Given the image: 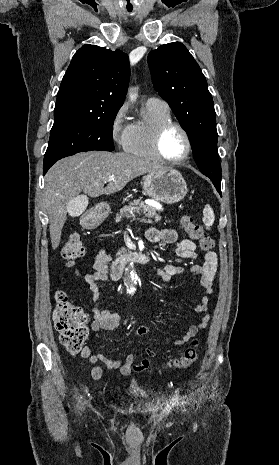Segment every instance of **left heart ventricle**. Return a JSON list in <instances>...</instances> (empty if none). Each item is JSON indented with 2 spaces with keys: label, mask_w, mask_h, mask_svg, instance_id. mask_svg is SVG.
I'll use <instances>...</instances> for the list:
<instances>
[{
  "label": "left heart ventricle",
  "mask_w": 279,
  "mask_h": 465,
  "mask_svg": "<svg viewBox=\"0 0 279 465\" xmlns=\"http://www.w3.org/2000/svg\"><path fill=\"white\" fill-rule=\"evenodd\" d=\"M162 151L170 159H177L186 151L185 139L177 128L168 129L162 138Z\"/></svg>",
  "instance_id": "left-heart-ventricle-1"
}]
</instances>
